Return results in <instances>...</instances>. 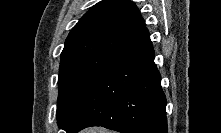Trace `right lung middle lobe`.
I'll return each instance as SVG.
<instances>
[{
  "instance_id": "dd1d6c3e",
  "label": "right lung middle lobe",
  "mask_w": 221,
  "mask_h": 133,
  "mask_svg": "<svg viewBox=\"0 0 221 133\" xmlns=\"http://www.w3.org/2000/svg\"><path fill=\"white\" fill-rule=\"evenodd\" d=\"M106 69L64 70L59 72L57 120L67 131L90 92L92 86Z\"/></svg>"
}]
</instances>
